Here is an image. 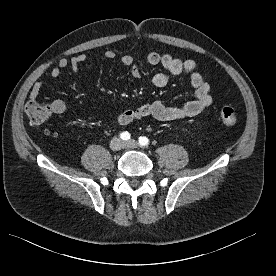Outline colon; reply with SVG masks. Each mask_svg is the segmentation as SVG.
Masks as SVG:
<instances>
[{"instance_id": "5ec220e1", "label": "colon", "mask_w": 276, "mask_h": 276, "mask_svg": "<svg viewBox=\"0 0 276 276\" xmlns=\"http://www.w3.org/2000/svg\"><path fill=\"white\" fill-rule=\"evenodd\" d=\"M25 114L33 125H40L47 121L51 115L49 104L32 100L25 106ZM219 119L226 126H234L237 123V112L231 106H223L219 111Z\"/></svg>"}]
</instances>
